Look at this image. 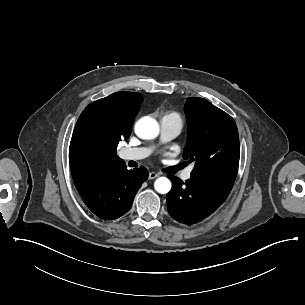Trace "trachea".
Segmentation results:
<instances>
[{"mask_svg":"<svg viewBox=\"0 0 305 305\" xmlns=\"http://www.w3.org/2000/svg\"><path fill=\"white\" fill-rule=\"evenodd\" d=\"M184 167L185 166H183V165L172 166V167L162 169V172L167 173V174H175L180 169H183Z\"/></svg>","mask_w":305,"mask_h":305,"instance_id":"1","label":"trachea"}]
</instances>
